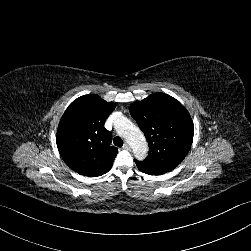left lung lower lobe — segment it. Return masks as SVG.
<instances>
[{"label":"left lung lower lobe","instance_id":"1","mask_svg":"<svg viewBox=\"0 0 251 251\" xmlns=\"http://www.w3.org/2000/svg\"><path fill=\"white\" fill-rule=\"evenodd\" d=\"M135 163L140 171H142L146 174H149V175H160V174H164V173L169 172L174 169V167L156 164V163L149 162L146 160H144V161L135 160Z\"/></svg>","mask_w":251,"mask_h":251}]
</instances>
